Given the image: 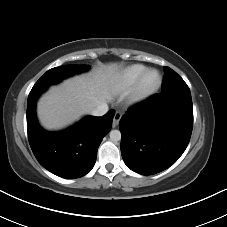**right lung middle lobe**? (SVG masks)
Listing matches in <instances>:
<instances>
[{
	"instance_id": "right-lung-middle-lobe-1",
	"label": "right lung middle lobe",
	"mask_w": 227,
	"mask_h": 227,
	"mask_svg": "<svg viewBox=\"0 0 227 227\" xmlns=\"http://www.w3.org/2000/svg\"><path fill=\"white\" fill-rule=\"evenodd\" d=\"M88 66L67 65L56 67L44 73L40 79L33 86L29 96L39 94L47 89L51 84L58 83L59 81L72 76L74 74L86 71Z\"/></svg>"
}]
</instances>
